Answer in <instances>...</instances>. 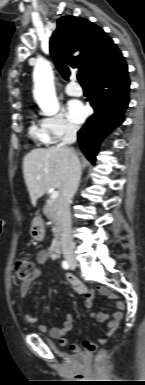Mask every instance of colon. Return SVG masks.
<instances>
[{
  "label": "colon",
  "instance_id": "5ec220e1",
  "mask_svg": "<svg viewBox=\"0 0 145 385\" xmlns=\"http://www.w3.org/2000/svg\"><path fill=\"white\" fill-rule=\"evenodd\" d=\"M35 264L34 261L29 258H22L16 261L14 265V277L17 281L21 283L28 282L34 273ZM86 349L89 351H94L96 347L92 344H88ZM103 351L100 352V357L103 356Z\"/></svg>",
  "mask_w": 145,
  "mask_h": 385
}]
</instances>
